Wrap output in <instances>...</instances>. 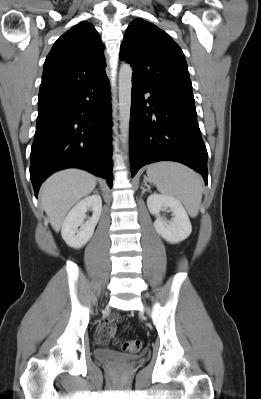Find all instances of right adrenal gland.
<instances>
[{"label": "right adrenal gland", "mask_w": 261, "mask_h": 399, "mask_svg": "<svg viewBox=\"0 0 261 399\" xmlns=\"http://www.w3.org/2000/svg\"><path fill=\"white\" fill-rule=\"evenodd\" d=\"M94 193H99L98 190H95Z\"/></svg>", "instance_id": "right-adrenal-gland-1"}]
</instances>
